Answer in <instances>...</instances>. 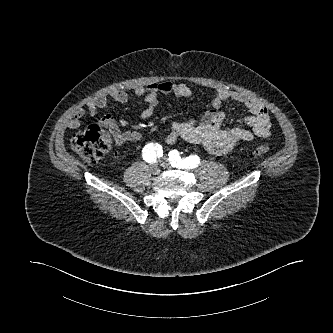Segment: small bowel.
<instances>
[{"mask_svg": "<svg viewBox=\"0 0 333 333\" xmlns=\"http://www.w3.org/2000/svg\"><path fill=\"white\" fill-rule=\"evenodd\" d=\"M134 93L146 104L141 112V118L149 119L156 110L160 94L188 98L192 95V90L185 83L161 81L151 83L146 87L137 86ZM110 99L123 104L127 102L128 94L124 90H114L109 95H99L92 98L87 103V110H77L73 117L68 120L67 126L71 129L78 128L86 113L94 115L97 110L106 109ZM228 100L235 101L248 110L249 115L240 120L248 127L247 129L223 128L225 114L220 110V107ZM100 124L110 131L115 143L119 146L138 143L142 140V134L138 131H121L110 115H104L100 119ZM270 134L271 121L268 110L256 98L226 88H217L214 92L211 109L203 118L175 122L170 133L166 136V142L174 144L177 140L182 139L203 146L211 154L223 155L242 142L252 141L255 137L267 138Z\"/></svg>", "mask_w": 333, "mask_h": 333, "instance_id": "c3829d8e", "label": "small bowel"}]
</instances>
